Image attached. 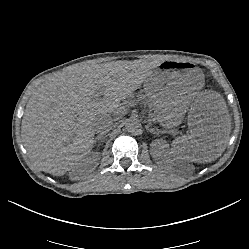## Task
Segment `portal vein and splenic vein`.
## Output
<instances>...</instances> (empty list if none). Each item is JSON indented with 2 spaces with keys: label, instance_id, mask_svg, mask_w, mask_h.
<instances>
[{
  "label": "portal vein and splenic vein",
  "instance_id": "1",
  "mask_svg": "<svg viewBox=\"0 0 249 249\" xmlns=\"http://www.w3.org/2000/svg\"><path fill=\"white\" fill-rule=\"evenodd\" d=\"M101 96V93L100 92H97L95 97H100Z\"/></svg>",
  "mask_w": 249,
  "mask_h": 249
}]
</instances>
